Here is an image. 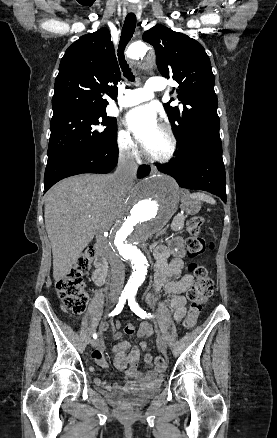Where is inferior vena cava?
Masks as SVG:
<instances>
[{
  "label": "inferior vena cava",
  "instance_id": "1",
  "mask_svg": "<svg viewBox=\"0 0 277 438\" xmlns=\"http://www.w3.org/2000/svg\"><path fill=\"white\" fill-rule=\"evenodd\" d=\"M138 166L136 164L135 156H132L130 152H120L117 164V170L113 174L114 184L117 190H126L132 186ZM109 264L112 270V278L110 284V290H122L125 274L121 260L118 256L109 260Z\"/></svg>",
  "mask_w": 277,
  "mask_h": 438
}]
</instances>
